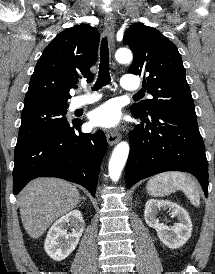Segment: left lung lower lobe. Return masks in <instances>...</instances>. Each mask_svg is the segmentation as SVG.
Segmentation results:
<instances>
[{"label": "left lung lower lobe", "instance_id": "0a47b994", "mask_svg": "<svg viewBox=\"0 0 215 274\" xmlns=\"http://www.w3.org/2000/svg\"><path fill=\"white\" fill-rule=\"evenodd\" d=\"M141 124L130 132L126 185L165 171L194 175L208 196V163L196 117L161 110L152 114L132 112Z\"/></svg>", "mask_w": 215, "mask_h": 274}]
</instances>
